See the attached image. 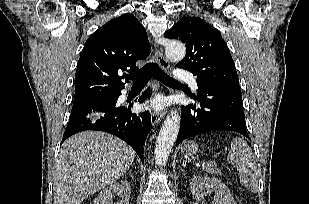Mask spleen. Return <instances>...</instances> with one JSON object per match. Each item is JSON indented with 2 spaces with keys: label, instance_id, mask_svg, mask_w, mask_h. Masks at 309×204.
I'll return each instance as SVG.
<instances>
[{
  "label": "spleen",
  "instance_id": "obj_1",
  "mask_svg": "<svg viewBox=\"0 0 309 204\" xmlns=\"http://www.w3.org/2000/svg\"><path fill=\"white\" fill-rule=\"evenodd\" d=\"M227 160L237 167L241 184L252 193L257 192L259 171L256 159L251 148L242 138L235 137L231 141Z\"/></svg>",
  "mask_w": 309,
  "mask_h": 204
}]
</instances>
